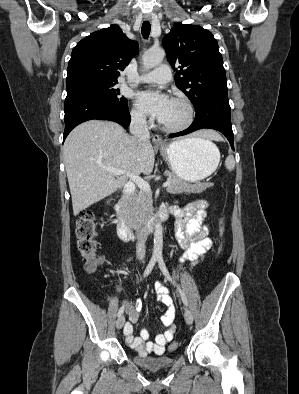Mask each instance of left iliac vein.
<instances>
[{
	"mask_svg": "<svg viewBox=\"0 0 299 394\" xmlns=\"http://www.w3.org/2000/svg\"><path fill=\"white\" fill-rule=\"evenodd\" d=\"M184 318H185V321L187 324H192L193 316H192V313L188 309H185Z\"/></svg>",
	"mask_w": 299,
	"mask_h": 394,
	"instance_id": "obj_1",
	"label": "left iliac vein"
}]
</instances>
